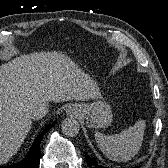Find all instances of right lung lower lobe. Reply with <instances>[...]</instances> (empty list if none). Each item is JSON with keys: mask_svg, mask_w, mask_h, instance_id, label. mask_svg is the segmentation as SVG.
Instances as JSON below:
<instances>
[{"mask_svg": "<svg viewBox=\"0 0 168 168\" xmlns=\"http://www.w3.org/2000/svg\"><path fill=\"white\" fill-rule=\"evenodd\" d=\"M55 123L49 124L43 132L38 136V138L34 141V144L30 148L26 157L19 163L11 165V166H0V168H38L39 160H40V150L39 146L44 134L52 127Z\"/></svg>", "mask_w": 168, "mask_h": 168, "instance_id": "right-lung-lower-lobe-1", "label": "right lung lower lobe"}]
</instances>
